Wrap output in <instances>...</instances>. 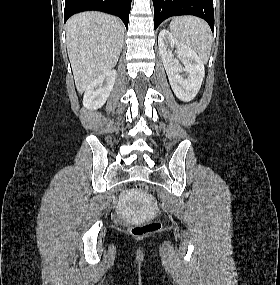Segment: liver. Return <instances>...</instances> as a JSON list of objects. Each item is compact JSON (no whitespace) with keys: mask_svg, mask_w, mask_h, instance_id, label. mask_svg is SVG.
I'll list each match as a JSON object with an SVG mask.
<instances>
[{"mask_svg":"<svg viewBox=\"0 0 280 285\" xmlns=\"http://www.w3.org/2000/svg\"><path fill=\"white\" fill-rule=\"evenodd\" d=\"M123 37L121 21L105 13L83 12L67 21V51L79 93L116 65Z\"/></svg>","mask_w":280,"mask_h":285,"instance_id":"liver-1","label":"liver"}]
</instances>
